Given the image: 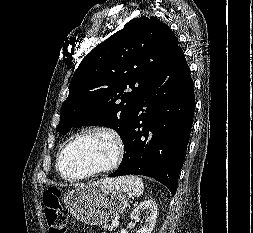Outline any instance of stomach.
Here are the masks:
<instances>
[{
    "label": "stomach",
    "mask_w": 253,
    "mask_h": 233,
    "mask_svg": "<svg viewBox=\"0 0 253 233\" xmlns=\"http://www.w3.org/2000/svg\"><path fill=\"white\" fill-rule=\"evenodd\" d=\"M70 213L87 225H103L125 211L128 200L119 190L96 182L78 186L64 194Z\"/></svg>",
    "instance_id": "stomach-1"
}]
</instances>
